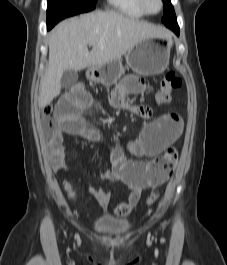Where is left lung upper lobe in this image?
Wrapping results in <instances>:
<instances>
[{
    "mask_svg": "<svg viewBox=\"0 0 227 265\" xmlns=\"http://www.w3.org/2000/svg\"><path fill=\"white\" fill-rule=\"evenodd\" d=\"M164 3V16L162 18L163 23L171 28L172 26H178L174 8L171 5L170 0H162Z\"/></svg>",
    "mask_w": 227,
    "mask_h": 265,
    "instance_id": "1",
    "label": "left lung upper lobe"
}]
</instances>
